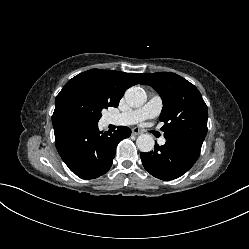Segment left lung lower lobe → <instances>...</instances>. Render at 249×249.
I'll return each mask as SVG.
<instances>
[{
  "mask_svg": "<svg viewBox=\"0 0 249 249\" xmlns=\"http://www.w3.org/2000/svg\"><path fill=\"white\" fill-rule=\"evenodd\" d=\"M203 141L189 137L166 139L162 146L155 144L154 151L141 153L144 168L161 180H172L186 173L200 155Z\"/></svg>",
  "mask_w": 249,
  "mask_h": 249,
  "instance_id": "obj_1",
  "label": "left lung lower lobe"
}]
</instances>
